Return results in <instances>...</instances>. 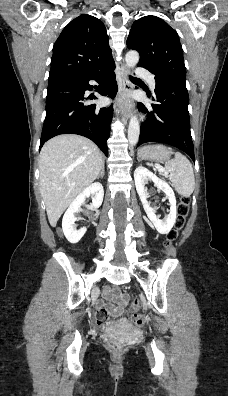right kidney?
<instances>
[{
    "instance_id": "1",
    "label": "right kidney",
    "mask_w": 228,
    "mask_h": 396,
    "mask_svg": "<svg viewBox=\"0 0 228 396\" xmlns=\"http://www.w3.org/2000/svg\"><path fill=\"white\" fill-rule=\"evenodd\" d=\"M91 197L92 204L88 206L89 210L97 209L101 206L104 190L102 184L99 182L93 183L85 188L70 204L65 212L62 220V229L65 237L70 243H77L86 233V228L76 230L74 222L77 220L75 213L79 212L81 205L85 202L86 198Z\"/></svg>"
}]
</instances>
